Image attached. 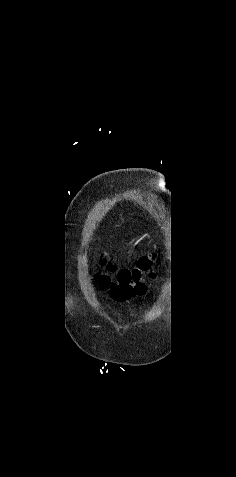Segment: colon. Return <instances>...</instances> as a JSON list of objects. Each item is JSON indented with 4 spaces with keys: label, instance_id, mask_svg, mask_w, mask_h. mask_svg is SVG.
Here are the masks:
<instances>
[{
    "label": "colon",
    "instance_id": "colon-1",
    "mask_svg": "<svg viewBox=\"0 0 236 477\" xmlns=\"http://www.w3.org/2000/svg\"><path fill=\"white\" fill-rule=\"evenodd\" d=\"M151 258L142 257L136 267L109 269L115 275L111 278L107 275L100 276L99 280L103 287L110 288L111 294L116 300H126L140 297L146 292L144 279L150 276Z\"/></svg>",
    "mask_w": 236,
    "mask_h": 477
}]
</instances>
